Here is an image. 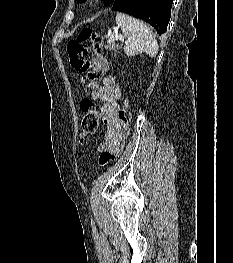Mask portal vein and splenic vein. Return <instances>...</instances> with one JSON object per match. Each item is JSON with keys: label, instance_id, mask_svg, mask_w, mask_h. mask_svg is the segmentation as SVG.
<instances>
[{"label": "portal vein and splenic vein", "instance_id": "1", "mask_svg": "<svg viewBox=\"0 0 233 263\" xmlns=\"http://www.w3.org/2000/svg\"><path fill=\"white\" fill-rule=\"evenodd\" d=\"M115 40H120L121 42H124V38L121 36V35H118V34H111L109 39H108V42L109 43H112L114 42Z\"/></svg>", "mask_w": 233, "mask_h": 263}]
</instances>
